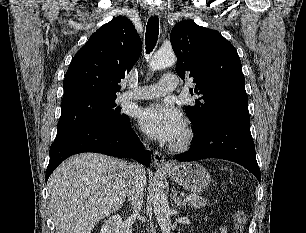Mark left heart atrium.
<instances>
[{"label":"left heart atrium","instance_id":"left-heart-atrium-1","mask_svg":"<svg viewBox=\"0 0 306 233\" xmlns=\"http://www.w3.org/2000/svg\"><path fill=\"white\" fill-rule=\"evenodd\" d=\"M142 130L165 142L175 141L184 128V120L178 109L170 102L153 104L138 114Z\"/></svg>","mask_w":306,"mask_h":233}]
</instances>
